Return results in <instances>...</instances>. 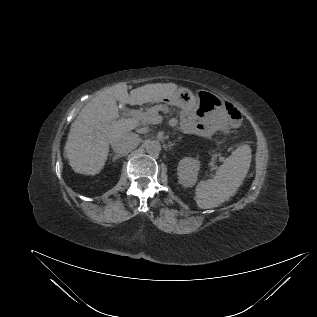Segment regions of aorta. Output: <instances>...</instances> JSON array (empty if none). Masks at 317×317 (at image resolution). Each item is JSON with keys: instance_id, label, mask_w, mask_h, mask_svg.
Returning <instances> with one entry per match:
<instances>
[{"instance_id": "obj_1", "label": "aorta", "mask_w": 317, "mask_h": 317, "mask_svg": "<svg viewBox=\"0 0 317 317\" xmlns=\"http://www.w3.org/2000/svg\"><path fill=\"white\" fill-rule=\"evenodd\" d=\"M146 152L152 156H158L161 151V144L156 140H147L145 143Z\"/></svg>"}]
</instances>
